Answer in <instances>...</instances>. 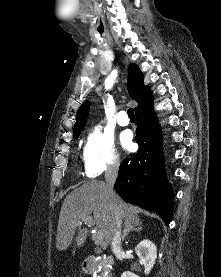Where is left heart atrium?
<instances>
[{
	"instance_id": "obj_1",
	"label": "left heart atrium",
	"mask_w": 221,
	"mask_h": 277,
	"mask_svg": "<svg viewBox=\"0 0 221 277\" xmlns=\"http://www.w3.org/2000/svg\"><path fill=\"white\" fill-rule=\"evenodd\" d=\"M121 143L126 149H131L133 147L132 136L130 133L126 132L122 134Z\"/></svg>"
}]
</instances>
